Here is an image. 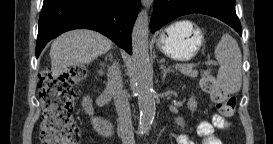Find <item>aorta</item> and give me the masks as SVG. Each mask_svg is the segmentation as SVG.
Returning a JSON list of instances; mask_svg holds the SVG:
<instances>
[{
	"label": "aorta",
	"instance_id": "aorta-1",
	"mask_svg": "<svg viewBox=\"0 0 273 144\" xmlns=\"http://www.w3.org/2000/svg\"><path fill=\"white\" fill-rule=\"evenodd\" d=\"M149 17L141 10L132 29V56L134 79L140 110L139 133L150 129L156 112L151 65L149 61Z\"/></svg>",
	"mask_w": 273,
	"mask_h": 144
}]
</instances>
